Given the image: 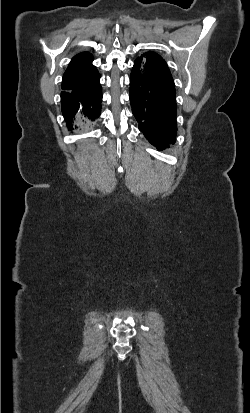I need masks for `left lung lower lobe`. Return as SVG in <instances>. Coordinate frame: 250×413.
<instances>
[{
    "mask_svg": "<svg viewBox=\"0 0 250 413\" xmlns=\"http://www.w3.org/2000/svg\"><path fill=\"white\" fill-rule=\"evenodd\" d=\"M130 101L139 130L158 150L174 143L175 85L166 62L148 52L134 61L130 75Z\"/></svg>",
    "mask_w": 250,
    "mask_h": 413,
    "instance_id": "1",
    "label": "left lung lower lobe"
}]
</instances>
